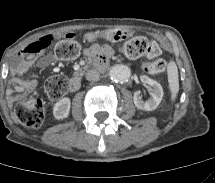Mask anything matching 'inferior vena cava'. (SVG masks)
Returning a JSON list of instances; mask_svg holds the SVG:
<instances>
[{"mask_svg": "<svg viewBox=\"0 0 215 183\" xmlns=\"http://www.w3.org/2000/svg\"><path fill=\"white\" fill-rule=\"evenodd\" d=\"M100 77V74L96 70H88L86 73V79L89 81H96Z\"/></svg>", "mask_w": 215, "mask_h": 183, "instance_id": "inferior-vena-cava-1", "label": "inferior vena cava"}]
</instances>
